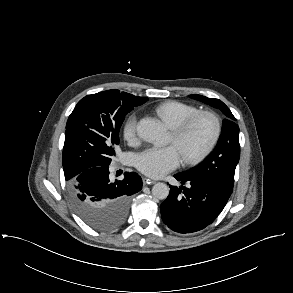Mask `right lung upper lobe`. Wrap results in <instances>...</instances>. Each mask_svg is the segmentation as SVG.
Returning a JSON list of instances; mask_svg holds the SVG:
<instances>
[{
  "label": "right lung upper lobe",
  "instance_id": "1",
  "mask_svg": "<svg viewBox=\"0 0 293 293\" xmlns=\"http://www.w3.org/2000/svg\"><path fill=\"white\" fill-rule=\"evenodd\" d=\"M137 97V96H136ZM139 100H141L142 102H146L148 100V98L145 97H137Z\"/></svg>",
  "mask_w": 293,
  "mask_h": 293
}]
</instances>
